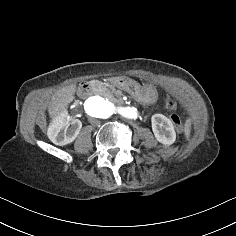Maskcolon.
I'll list each match as a JSON object with an SVG mask.
<instances>
[{"label":"colon","mask_w":236,"mask_h":236,"mask_svg":"<svg viewBox=\"0 0 236 236\" xmlns=\"http://www.w3.org/2000/svg\"><path fill=\"white\" fill-rule=\"evenodd\" d=\"M165 105L168 110L173 112L171 115V120H172L173 124L175 125L176 129L178 131H181L183 128L182 123H181V119L176 113H174V111L176 110V107H177V103H176V100L173 97V95H168L166 97Z\"/></svg>","instance_id":"obj_1"}]
</instances>
